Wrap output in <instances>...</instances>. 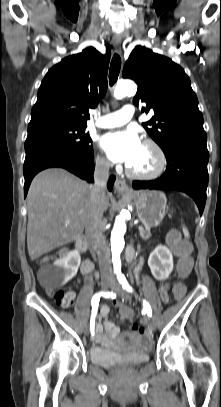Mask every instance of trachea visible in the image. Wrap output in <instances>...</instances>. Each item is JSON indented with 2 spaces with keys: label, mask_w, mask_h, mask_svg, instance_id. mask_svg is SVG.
Listing matches in <instances>:
<instances>
[{
  "label": "trachea",
  "mask_w": 221,
  "mask_h": 407,
  "mask_svg": "<svg viewBox=\"0 0 221 407\" xmlns=\"http://www.w3.org/2000/svg\"><path fill=\"white\" fill-rule=\"evenodd\" d=\"M120 68H121V58L118 54H114L111 64H110V70H109L110 86H113L116 83L119 73H120Z\"/></svg>",
  "instance_id": "1"
}]
</instances>
